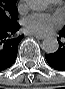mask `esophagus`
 I'll list each match as a JSON object with an SVG mask.
<instances>
[{"label":"esophagus","instance_id":"1","mask_svg":"<svg viewBox=\"0 0 65 89\" xmlns=\"http://www.w3.org/2000/svg\"><path fill=\"white\" fill-rule=\"evenodd\" d=\"M30 35H33V36H35L37 39H40V40L45 38L44 35H37V34H33V33H30Z\"/></svg>","mask_w":65,"mask_h":89}]
</instances>
